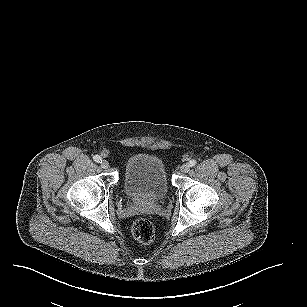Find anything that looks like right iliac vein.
Here are the masks:
<instances>
[{
	"instance_id": "obj_1",
	"label": "right iliac vein",
	"mask_w": 307,
	"mask_h": 307,
	"mask_svg": "<svg viewBox=\"0 0 307 307\" xmlns=\"http://www.w3.org/2000/svg\"><path fill=\"white\" fill-rule=\"evenodd\" d=\"M101 167H102L103 169H108V167H109V162H108L107 160H102V161H101Z\"/></svg>"
}]
</instances>
